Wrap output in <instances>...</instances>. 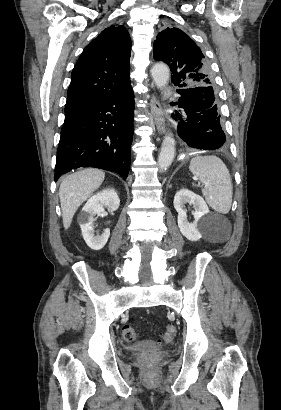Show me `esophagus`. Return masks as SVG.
I'll return each instance as SVG.
<instances>
[{"label": "esophagus", "mask_w": 281, "mask_h": 410, "mask_svg": "<svg viewBox=\"0 0 281 410\" xmlns=\"http://www.w3.org/2000/svg\"><path fill=\"white\" fill-rule=\"evenodd\" d=\"M150 111H151L152 119L154 120L155 126L157 128V131L160 135H162L165 131V121L161 113L162 112L161 104L155 98L151 99Z\"/></svg>", "instance_id": "34e87169"}]
</instances>
